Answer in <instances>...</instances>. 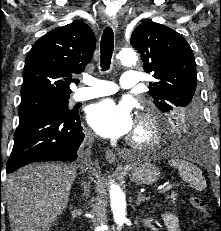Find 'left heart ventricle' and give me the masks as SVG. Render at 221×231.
Returning a JSON list of instances; mask_svg holds the SVG:
<instances>
[{"instance_id":"b2bd125f","label":"left heart ventricle","mask_w":221,"mask_h":231,"mask_svg":"<svg viewBox=\"0 0 221 231\" xmlns=\"http://www.w3.org/2000/svg\"><path fill=\"white\" fill-rule=\"evenodd\" d=\"M133 133H139L140 134V132H139V130H138L137 127L134 128Z\"/></svg>"}]
</instances>
